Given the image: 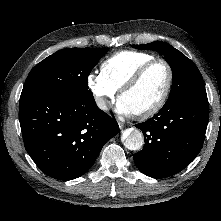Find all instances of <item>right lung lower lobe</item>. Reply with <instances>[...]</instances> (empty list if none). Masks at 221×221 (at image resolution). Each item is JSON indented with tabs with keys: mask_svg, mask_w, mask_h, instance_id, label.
<instances>
[{
	"mask_svg": "<svg viewBox=\"0 0 221 221\" xmlns=\"http://www.w3.org/2000/svg\"><path fill=\"white\" fill-rule=\"evenodd\" d=\"M19 121L28 154L46 175L59 180L83 175L119 132L93 97L23 99Z\"/></svg>",
	"mask_w": 221,
	"mask_h": 221,
	"instance_id": "98d812e1",
	"label": "right lung lower lobe"
}]
</instances>
